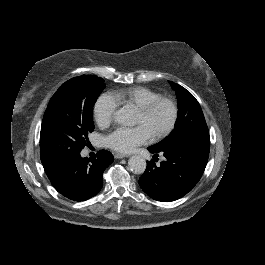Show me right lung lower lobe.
<instances>
[{"label": "right lung lower lobe", "instance_id": "obj_1", "mask_svg": "<svg viewBox=\"0 0 265 265\" xmlns=\"http://www.w3.org/2000/svg\"><path fill=\"white\" fill-rule=\"evenodd\" d=\"M114 161L109 151L101 150L93 160L80 153L43 162L52 186L73 201H84L97 194L103 185V172Z\"/></svg>", "mask_w": 265, "mask_h": 265}]
</instances>
